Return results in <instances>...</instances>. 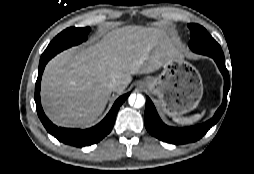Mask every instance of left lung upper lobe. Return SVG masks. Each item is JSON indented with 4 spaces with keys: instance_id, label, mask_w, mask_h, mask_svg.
<instances>
[{
    "instance_id": "1",
    "label": "left lung upper lobe",
    "mask_w": 254,
    "mask_h": 174,
    "mask_svg": "<svg viewBox=\"0 0 254 174\" xmlns=\"http://www.w3.org/2000/svg\"><path fill=\"white\" fill-rule=\"evenodd\" d=\"M191 31L189 47L193 52L207 56L224 57L220 45L212 38L206 29L198 24H188Z\"/></svg>"
}]
</instances>
